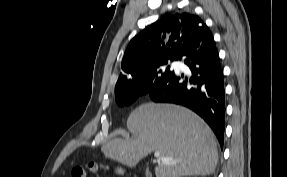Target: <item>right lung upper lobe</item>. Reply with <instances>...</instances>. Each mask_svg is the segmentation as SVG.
Masks as SVG:
<instances>
[{"mask_svg":"<svg viewBox=\"0 0 287 177\" xmlns=\"http://www.w3.org/2000/svg\"><path fill=\"white\" fill-rule=\"evenodd\" d=\"M206 29L202 19L188 13L164 17L147 26L128 44L115 87L136 85L155 64L178 60L185 46Z\"/></svg>","mask_w":287,"mask_h":177,"instance_id":"cb5924a9","label":"right lung upper lobe"}]
</instances>
